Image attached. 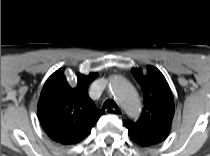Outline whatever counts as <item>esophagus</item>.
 <instances>
[{
    "label": "esophagus",
    "mask_w": 210,
    "mask_h": 156,
    "mask_svg": "<svg viewBox=\"0 0 210 156\" xmlns=\"http://www.w3.org/2000/svg\"><path fill=\"white\" fill-rule=\"evenodd\" d=\"M106 114H112V112H115V114H117L118 116H122L124 114L123 110L122 109H117L115 111V109L113 108H107L105 110Z\"/></svg>",
    "instance_id": "obj_1"
}]
</instances>
